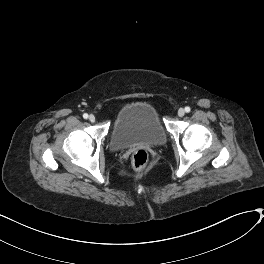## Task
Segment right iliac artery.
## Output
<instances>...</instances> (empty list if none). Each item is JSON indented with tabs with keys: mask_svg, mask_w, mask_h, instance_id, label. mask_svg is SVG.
I'll return each instance as SVG.
<instances>
[{
	"mask_svg": "<svg viewBox=\"0 0 264 264\" xmlns=\"http://www.w3.org/2000/svg\"><path fill=\"white\" fill-rule=\"evenodd\" d=\"M83 118H84V119H87V118H88V114H87V113H84V114H83Z\"/></svg>",
	"mask_w": 264,
	"mask_h": 264,
	"instance_id": "right-iliac-artery-1",
	"label": "right iliac artery"
}]
</instances>
